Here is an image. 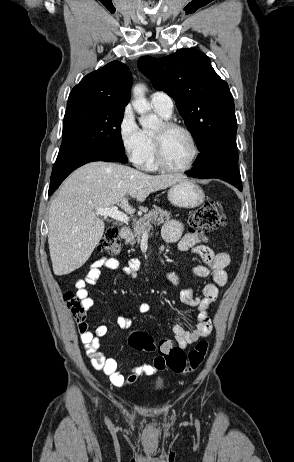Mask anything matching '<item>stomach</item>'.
Listing matches in <instances>:
<instances>
[{
	"label": "stomach",
	"instance_id": "stomach-1",
	"mask_svg": "<svg viewBox=\"0 0 294 462\" xmlns=\"http://www.w3.org/2000/svg\"><path fill=\"white\" fill-rule=\"evenodd\" d=\"M168 199L175 206L195 208L204 202L205 194L199 185L185 178L170 187Z\"/></svg>",
	"mask_w": 294,
	"mask_h": 462
}]
</instances>
